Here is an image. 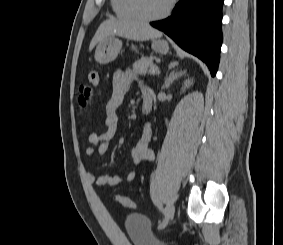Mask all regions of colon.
I'll use <instances>...</instances> for the list:
<instances>
[{"label":"colon","instance_id":"obj_1","mask_svg":"<svg viewBox=\"0 0 283 245\" xmlns=\"http://www.w3.org/2000/svg\"><path fill=\"white\" fill-rule=\"evenodd\" d=\"M100 77L96 70H90L88 74V81L85 85L80 86L79 101L82 107L90 106L89 95L99 83ZM115 200L125 208L134 209L135 203L132 199L124 195H116Z\"/></svg>","mask_w":283,"mask_h":245}]
</instances>
